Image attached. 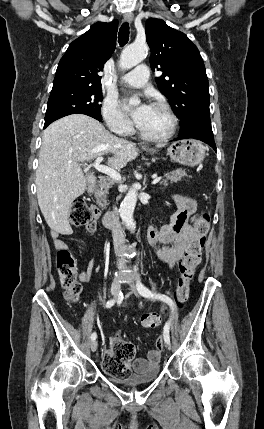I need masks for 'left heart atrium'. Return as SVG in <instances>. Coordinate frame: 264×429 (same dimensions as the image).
<instances>
[{
	"label": "left heart atrium",
	"mask_w": 264,
	"mask_h": 429,
	"mask_svg": "<svg viewBox=\"0 0 264 429\" xmlns=\"http://www.w3.org/2000/svg\"><path fill=\"white\" fill-rule=\"evenodd\" d=\"M149 109H150V106L148 104L142 103L131 112V116L137 125H139L143 121Z\"/></svg>",
	"instance_id": "39dd6f15"
}]
</instances>
